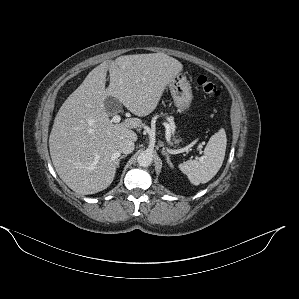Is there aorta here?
<instances>
[{
  "label": "aorta",
  "instance_id": "obj_1",
  "mask_svg": "<svg viewBox=\"0 0 299 299\" xmlns=\"http://www.w3.org/2000/svg\"><path fill=\"white\" fill-rule=\"evenodd\" d=\"M137 162L142 167H148L153 162V155L148 151L141 152L137 157Z\"/></svg>",
  "mask_w": 299,
  "mask_h": 299
}]
</instances>
